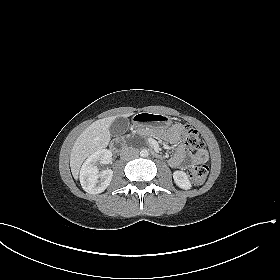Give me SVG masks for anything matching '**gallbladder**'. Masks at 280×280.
<instances>
[{
	"mask_svg": "<svg viewBox=\"0 0 280 280\" xmlns=\"http://www.w3.org/2000/svg\"><path fill=\"white\" fill-rule=\"evenodd\" d=\"M129 124L127 118L117 117L109 127L110 134L114 137L123 135L127 131Z\"/></svg>",
	"mask_w": 280,
	"mask_h": 280,
	"instance_id": "bac80fb5",
	"label": "gallbladder"
}]
</instances>
